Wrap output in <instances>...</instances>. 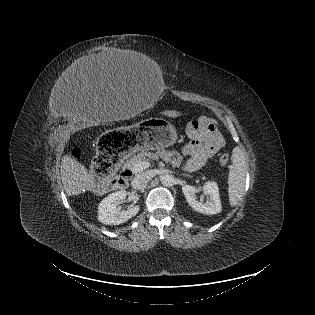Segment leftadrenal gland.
<instances>
[{
  "instance_id": "obj_1",
  "label": "left adrenal gland",
  "mask_w": 315,
  "mask_h": 315,
  "mask_svg": "<svg viewBox=\"0 0 315 315\" xmlns=\"http://www.w3.org/2000/svg\"><path fill=\"white\" fill-rule=\"evenodd\" d=\"M182 176H190L189 174H182Z\"/></svg>"
}]
</instances>
